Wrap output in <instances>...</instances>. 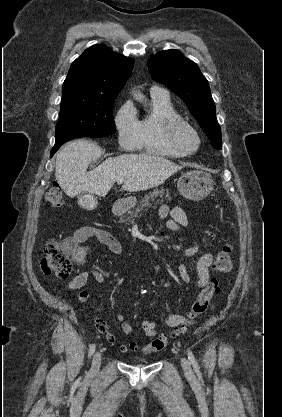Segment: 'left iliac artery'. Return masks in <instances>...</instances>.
<instances>
[{
    "label": "left iliac artery",
    "mask_w": 282,
    "mask_h": 417,
    "mask_svg": "<svg viewBox=\"0 0 282 417\" xmlns=\"http://www.w3.org/2000/svg\"><path fill=\"white\" fill-rule=\"evenodd\" d=\"M188 359L191 365L195 366V357L191 351H188Z\"/></svg>",
    "instance_id": "left-iliac-artery-1"
}]
</instances>
